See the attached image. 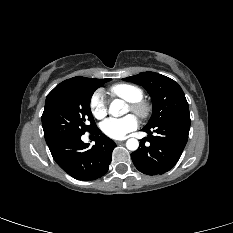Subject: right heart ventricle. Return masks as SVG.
<instances>
[{
    "label": "right heart ventricle",
    "mask_w": 233,
    "mask_h": 233,
    "mask_svg": "<svg viewBox=\"0 0 233 233\" xmlns=\"http://www.w3.org/2000/svg\"><path fill=\"white\" fill-rule=\"evenodd\" d=\"M110 94L127 103L134 102L143 98V90L134 84L118 83L109 88Z\"/></svg>",
    "instance_id": "1"
}]
</instances>
